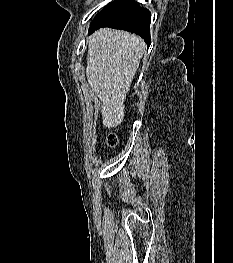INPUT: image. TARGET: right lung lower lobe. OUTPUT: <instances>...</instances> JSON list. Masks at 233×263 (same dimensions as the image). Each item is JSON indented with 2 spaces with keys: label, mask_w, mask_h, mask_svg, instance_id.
<instances>
[{
  "label": "right lung lower lobe",
  "mask_w": 233,
  "mask_h": 263,
  "mask_svg": "<svg viewBox=\"0 0 233 263\" xmlns=\"http://www.w3.org/2000/svg\"><path fill=\"white\" fill-rule=\"evenodd\" d=\"M150 22L151 14L149 10L140 7L133 2V0H130L110 21L106 23L92 22L89 28V33H92L101 27L122 29L140 35L149 47L151 44Z\"/></svg>",
  "instance_id": "obj_1"
}]
</instances>
